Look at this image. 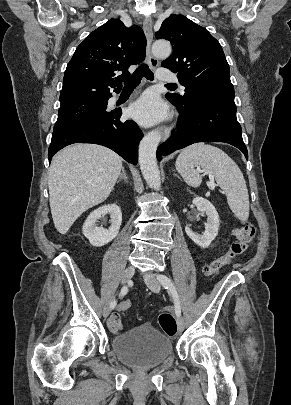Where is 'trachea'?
<instances>
[{
	"instance_id": "trachea-1",
	"label": "trachea",
	"mask_w": 291,
	"mask_h": 405,
	"mask_svg": "<svg viewBox=\"0 0 291 405\" xmlns=\"http://www.w3.org/2000/svg\"><path fill=\"white\" fill-rule=\"evenodd\" d=\"M142 77H145L147 80H153L154 75L152 71L149 69L147 64L140 65L136 71L132 74V76L124 83V89H131L137 87ZM168 86H175V84H167Z\"/></svg>"
}]
</instances>
